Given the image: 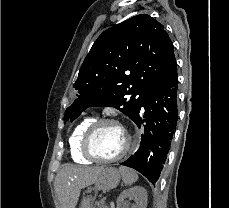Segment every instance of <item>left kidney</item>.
<instances>
[{
  "label": "left kidney",
  "instance_id": "obj_1",
  "mask_svg": "<svg viewBox=\"0 0 229 208\" xmlns=\"http://www.w3.org/2000/svg\"><path fill=\"white\" fill-rule=\"evenodd\" d=\"M129 198V200H135L137 206L136 208H147V192L145 188L141 186H135V188H129L126 192H122L118 198V204L123 208L124 200Z\"/></svg>",
  "mask_w": 229,
  "mask_h": 208
}]
</instances>
